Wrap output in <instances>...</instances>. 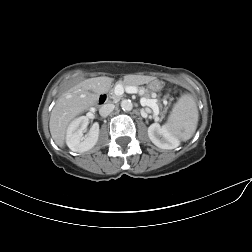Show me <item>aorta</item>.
I'll list each match as a JSON object with an SVG mask.
<instances>
[{
	"instance_id": "1",
	"label": "aorta",
	"mask_w": 252,
	"mask_h": 252,
	"mask_svg": "<svg viewBox=\"0 0 252 252\" xmlns=\"http://www.w3.org/2000/svg\"><path fill=\"white\" fill-rule=\"evenodd\" d=\"M121 108L124 111H131L133 109V104L131 100L124 99L121 101Z\"/></svg>"
}]
</instances>
